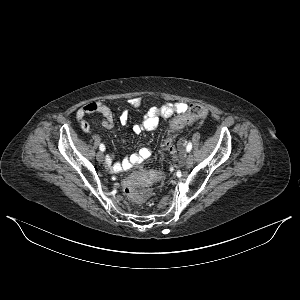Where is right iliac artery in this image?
<instances>
[{
	"label": "right iliac artery",
	"mask_w": 300,
	"mask_h": 300,
	"mask_svg": "<svg viewBox=\"0 0 300 300\" xmlns=\"http://www.w3.org/2000/svg\"><path fill=\"white\" fill-rule=\"evenodd\" d=\"M100 150L103 152V151H105V146L103 145V144H100Z\"/></svg>",
	"instance_id": "right-iliac-artery-1"
}]
</instances>
